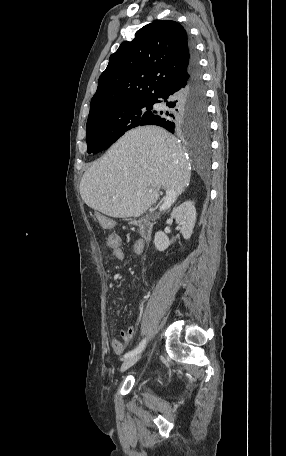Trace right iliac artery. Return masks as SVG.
Segmentation results:
<instances>
[{"label":"right iliac artery","instance_id":"obj_1","mask_svg":"<svg viewBox=\"0 0 286 456\" xmlns=\"http://www.w3.org/2000/svg\"><path fill=\"white\" fill-rule=\"evenodd\" d=\"M145 344H146V339H143L140 344L132 351H129L127 352L125 355H124V359H127L129 357H132L134 355H137L138 353H140L144 347H145Z\"/></svg>","mask_w":286,"mask_h":456}]
</instances>
